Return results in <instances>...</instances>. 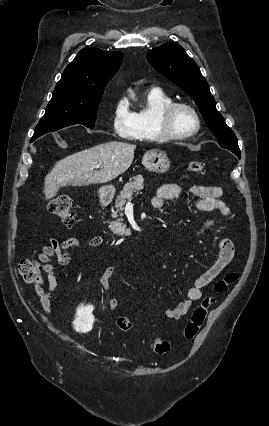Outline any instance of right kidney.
Returning a JSON list of instances; mask_svg holds the SVG:
<instances>
[{
    "label": "right kidney",
    "instance_id": "1",
    "mask_svg": "<svg viewBox=\"0 0 269 426\" xmlns=\"http://www.w3.org/2000/svg\"><path fill=\"white\" fill-rule=\"evenodd\" d=\"M92 310V307H80L77 309L76 319L73 322L77 332L87 333L92 330L94 323Z\"/></svg>",
    "mask_w": 269,
    "mask_h": 426
}]
</instances>
